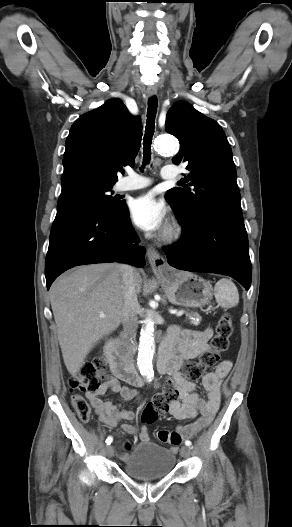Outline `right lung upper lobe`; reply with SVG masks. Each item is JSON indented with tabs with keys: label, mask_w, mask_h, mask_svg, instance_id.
Listing matches in <instances>:
<instances>
[{
	"label": "right lung upper lobe",
	"mask_w": 292,
	"mask_h": 527,
	"mask_svg": "<svg viewBox=\"0 0 292 527\" xmlns=\"http://www.w3.org/2000/svg\"><path fill=\"white\" fill-rule=\"evenodd\" d=\"M142 125L123 102L110 99L80 116L65 142L62 182L76 177L114 184L122 165L135 164Z\"/></svg>",
	"instance_id": "1"
}]
</instances>
